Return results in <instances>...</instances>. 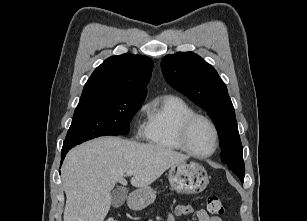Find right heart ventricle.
Wrapping results in <instances>:
<instances>
[{
  "mask_svg": "<svg viewBox=\"0 0 307 221\" xmlns=\"http://www.w3.org/2000/svg\"><path fill=\"white\" fill-rule=\"evenodd\" d=\"M146 109V139L164 149L182 150L178 142L179 127L186 117L195 113L193 108L177 96L163 95L148 103Z\"/></svg>",
  "mask_w": 307,
  "mask_h": 221,
  "instance_id": "e07e8e85",
  "label": "right heart ventricle"
}]
</instances>
